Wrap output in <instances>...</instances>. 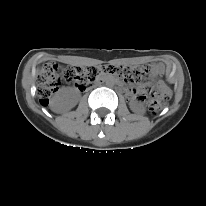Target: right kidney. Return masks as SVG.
I'll return each mask as SVG.
<instances>
[{
	"label": "right kidney",
	"mask_w": 206,
	"mask_h": 206,
	"mask_svg": "<svg viewBox=\"0 0 206 206\" xmlns=\"http://www.w3.org/2000/svg\"><path fill=\"white\" fill-rule=\"evenodd\" d=\"M77 96L73 90L61 89L52 99L51 109L55 112L70 110L77 103Z\"/></svg>",
	"instance_id": "1"
}]
</instances>
